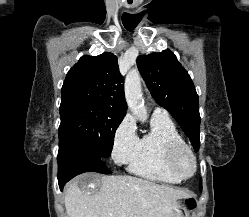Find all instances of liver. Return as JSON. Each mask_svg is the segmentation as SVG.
<instances>
[{
    "label": "liver",
    "instance_id": "obj_1",
    "mask_svg": "<svg viewBox=\"0 0 249 217\" xmlns=\"http://www.w3.org/2000/svg\"><path fill=\"white\" fill-rule=\"evenodd\" d=\"M80 179L100 188L85 190L78 180L69 184L67 217H176L177 200L188 197L184 191L132 176L86 174Z\"/></svg>",
    "mask_w": 249,
    "mask_h": 217
}]
</instances>
